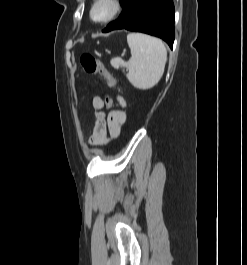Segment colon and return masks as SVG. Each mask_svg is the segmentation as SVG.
I'll return each instance as SVG.
<instances>
[{"mask_svg": "<svg viewBox=\"0 0 247 265\" xmlns=\"http://www.w3.org/2000/svg\"><path fill=\"white\" fill-rule=\"evenodd\" d=\"M80 63L86 73L103 76L107 80L110 88H114L116 86V79L108 72L104 65L96 60L92 55L83 54L80 57ZM104 103L105 108H110L113 105V99L109 94L104 96Z\"/></svg>", "mask_w": 247, "mask_h": 265, "instance_id": "obj_1", "label": "colon"}]
</instances>
